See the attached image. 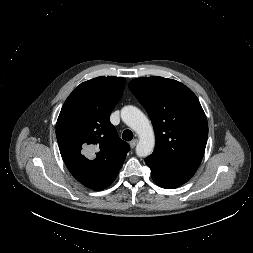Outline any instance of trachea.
<instances>
[{"label":"trachea","instance_id":"obj_1","mask_svg":"<svg viewBox=\"0 0 253 253\" xmlns=\"http://www.w3.org/2000/svg\"><path fill=\"white\" fill-rule=\"evenodd\" d=\"M122 138L126 141H131L133 139V133L131 130H125L122 134Z\"/></svg>","mask_w":253,"mask_h":253}]
</instances>
